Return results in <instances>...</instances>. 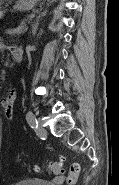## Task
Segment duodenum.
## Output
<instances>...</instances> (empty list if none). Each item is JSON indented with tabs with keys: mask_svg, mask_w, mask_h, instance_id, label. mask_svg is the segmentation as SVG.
Returning <instances> with one entry per match:
<instances>
[{
	"mask_svg": "<svg viewBox=\"0 0 119 185\" xmlns=\"http://www.w3.org/2000/svg\"><path fill=\"white\" fill-rule=\"evenodd\" d=\"M12 56L15 62H21L22 57H23V51L19 47H13L12 48Z\"/></svg>",
	"mask_w": 119,
	"mask_h": 185,
	"instance_id": "410a0bca",
	"label": "duodenum"
}]
</instances>
